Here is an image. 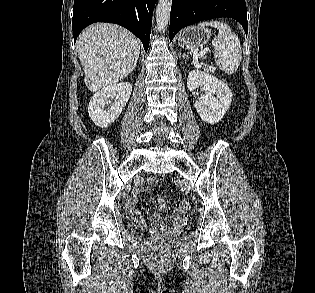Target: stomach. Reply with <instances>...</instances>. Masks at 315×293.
<instances>
[{
	"label": "stomach",
	"instance_id": "1",
	"mask_svg": "<svg viewBox=\"0 0 315 293\" xmlns=\"http://www.w3.org/2000/svg\"><path fill=\"white\" fill-rule=\"evenodd\" d=\"M209 38L210 31L208 29L187 28L180 33L178 44L184 49L196 51L199 47L205 45Z\"/></svg>",
	"mask_w": 315,
	"mask_h": 293
}]
</instances>
